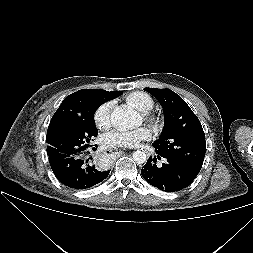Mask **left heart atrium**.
<instances>
[{"mask_svg":"<svg viewBox=\"0 0 253 253\" xmlns=\"http://www.w3.org/2000/svg\"><path fill=\"white\" fill-rule=\"evenodd\" d=\"M151 138L152 132L145 126L133 130L114 129L102 136V144L110 148H131Z\"/></svg>","mask_w":253,"mask_h":253,"instance_id":"obj_1","label":"left heart atrium"}]
</instances>
